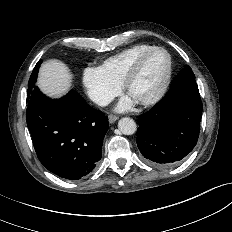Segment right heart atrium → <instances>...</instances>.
I'll return each mask as SVG.
<instances>
[{"mask_svg":"<svg viewBox=\"0 0 232 232\" xmlns=\"http://www.w3.org/2000/svg\"><path fill=\"white\" fill-rule=\"evenodd\" d=\"M88 96L98 105L109 104L121 90V85L109 77L101 67H87L82 75Z\"/></svg>","mask_w":232,"mask_h":232,"instance_id":"obj_1","label":"right heart atrium"}]
</instances>
